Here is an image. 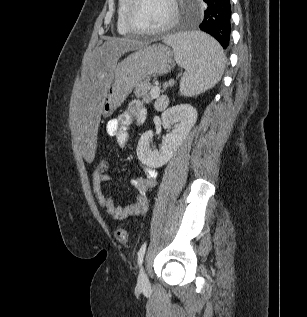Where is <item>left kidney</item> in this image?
Here are the masks:
<instances>
[{
	"label": "left kidney",
	"instance_id": "left-kidney-1",
	"mask_svg": "<svg viewBox=\"0 0 307 317\" xmlns=\"http://www.w3.org/2000/svg\"><path fill=\"white\" fill-rule=\"evenodd\" d=\"M197 110L188 104H180L166 109L162 115V125L168 133L162 138L160 149H153L150 142L153 138L151 130L142 134L136 149L140 162L151 168L165 165L172 157L197 120ZM173 126V129L171 127Z\"/></svg>",
	"mask_w": 307,
	"mask_h": 317
}]
</instances>
